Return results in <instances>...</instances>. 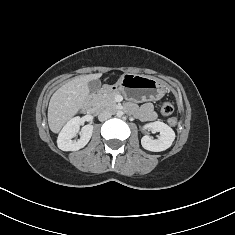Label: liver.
Here are the masks:
<instances>
[{"mask_svg": "<svg viewBox=\"0 0 235 235\" xmlns=\"http://www.w3.org/2000/svg\"><path fill=\"white\" fill-rule=\"evenodd\" d=\"M101 76L102 73L78 76L55 91L48 106V124L52 132L59 133L64 124L79 112L90 93L88 83Z\"/></svg>", "mask_w": 235, "mask_h": 235, "instance_id": "obj_1", "label": "liver"}]
</instances>
